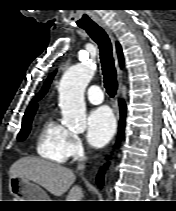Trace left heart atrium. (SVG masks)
<instances>
[{"label":"left heart atrium","mask_w":176,"mask_h":211,"mask_svg":"<svg viewBox=\"0 0 176 211\" xmlns=\"http://www.w3.org/2000/svg\"><path fill=\"white\" fill-rule=\"evenodd\" d=\"M115 120L111 111L106 107H99L90 112L87 117L86 137L94 147H102L113 136Z\"/></svg>","instance_id":"left-heart-atrium-1"}]
</instances>
